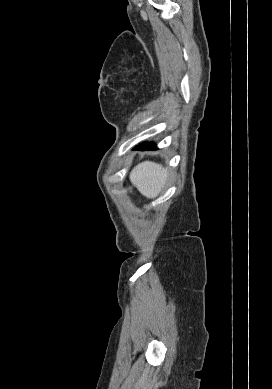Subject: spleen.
Here are the masks:
<instances>
[{
    "mask_svg": "<svg viewBox=\"0 0 272 389\" xmlns=\"http://www.w3.org/2000/svg\"><path fill=\"white\" fill-rule=\"evenodd\" d=\"M129 178L142 195L155 198L166 183L168 171L162 165L145 161L134 167Z\"/></svg>",
    "mask_w": 272,
    "mask_h": 389,
    "instance_id": "obj_1",
    "label": "spleen"
}]
</instances>
